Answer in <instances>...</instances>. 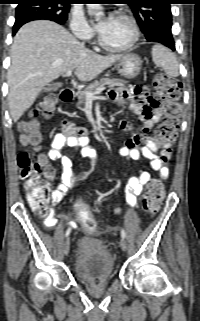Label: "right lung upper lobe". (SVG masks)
<instances>
[{
    "label": "right lung upper lobe",
    "instance_id": "cb5924a9",
    "mask_svg": "<svg viewBox=\"0 0 200 321\" xmlns=\"http://www.w3.org/2000/svg\"><path fill=\"white\" fill-rule=\"evenodd\" d=\"M18 1H23V0H18ZM64 1H69V2H72V1H74V0H64Z\"/></svg>",
    "mask_w": 200,
    "mask_h": 321
}]
</instances>
